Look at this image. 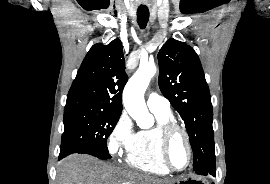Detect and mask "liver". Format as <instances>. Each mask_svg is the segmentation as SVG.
<instances>
[{"mask_svg":"<svg viewBox=\"0 0 270 184\" xmlns=\"http://www.w3.org/2000/svg\"><path fill=\"white\" fill-rule=\"evenodd\" d=\"M56 184H171L100 161L89 155L65 158L57 169Z\"/></svg>","mask_w":270,"mask_h":184,"instance_id":"1","label":"liver"}]
</instances>
